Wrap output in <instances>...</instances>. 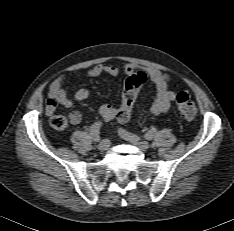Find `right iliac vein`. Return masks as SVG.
<instances>
[{"label": "right iliac vein", "instance_id": "obj_1", "mask_svg": "<svg viewBox=\"0 0 234 231\" xmlns=\"http://www.w3.org/2000/svg\"><path fill=\"white\" fill-rule=\"evenodd\" d=\"M110 144H111V143H110V141H109L108 139H104V140H102V141L99 143L98 149H99L101 152H104V151H106V150L109 149Z\"/></svg>", "mask_w": 234, "mask_h": 231}]
</instances>
